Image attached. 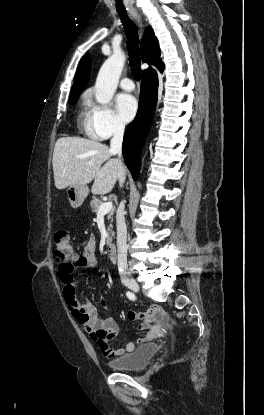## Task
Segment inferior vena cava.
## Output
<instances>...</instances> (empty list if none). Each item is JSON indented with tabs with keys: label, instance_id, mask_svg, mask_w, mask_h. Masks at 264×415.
Here are the masks:
<instances>
[{
	"label": "inferior vena cava",
	"instance_id": "1",
	"mask_svg": "<svg viewBox=\"0 0 264 415\" xmlns=\"http://www.w3.org/2000/svg\"><path fill=\"white\" fill-rule=\"evenodd\" d=\"M124 125L122 123H116L114 128L113 137L110 141V151L118 155V163L120 164L119 183L120 187L123 186L125 180V172L122 168L121 156H122V141L124 134ZM117 223V249H118V270L121 277L128 275L127 266V227L124 218V202L120 203L116 215Z\"/></svg>",
	"mask_w": 264,
	"mask_h": 415
}]
</instances>
